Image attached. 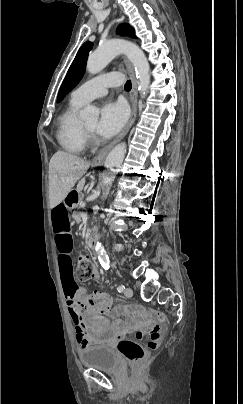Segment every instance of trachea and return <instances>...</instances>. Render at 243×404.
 I'll return each instance as SVG.
<instances>
[{
    "mask_svg": "<svg viewBox=\"0 0 243 404\" xmlns=\"http://www.w3.org/2000/svg\"><path fill=\"white\" fill-rule=\"evenodd\" d=\"M124 89L127 90V91L132 89V84H131L130 80H127V82L125 83Z\"/></svg>",
    "mask_w": 243,
    "mask_h": 404,
    "instance_id": "3493384b",
    "label": "trachea"
}]
</instances>
